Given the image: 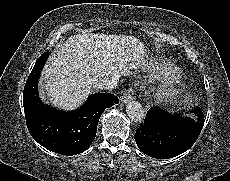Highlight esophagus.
<instances>
[{
  "instance_id": "34e87169",
  "label": "esophagus",
  "mask_w": 230,
  "mask_h": 181,
  "mask_svg": "<svg viewBox=\"0 0 230 181\" xmlns=\"http://www.w3.org/2000/svg\"><path fill=\"white\" fill-rule=\"evenodd\" d=\"M133 94L132 89H127L121 96V102L125 104L129 103L131 100H133Z\"/></svg>"
}]
</instances>
